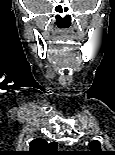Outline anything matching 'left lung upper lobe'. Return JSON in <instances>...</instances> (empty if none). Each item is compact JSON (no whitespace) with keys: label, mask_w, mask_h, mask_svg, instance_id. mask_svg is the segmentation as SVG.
Here are the masks:
<instances>
[{"label":"left lung upper lobe","mask_w":115,"mask_h":155,"mask_svg":"<svg viewBox=\"0 0 115 155\" xmlns=\"http://www.w3.org/2000/svg\"><path fill=\"white\" fill-rule=\"evenodd\" d=\"M89 146L91 149L89 155H105L104 153H106V152L101 150L100 142L97 140L90 142Z\"/></svg>","instance_id":"1"}]
</instances>
